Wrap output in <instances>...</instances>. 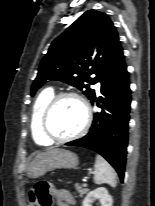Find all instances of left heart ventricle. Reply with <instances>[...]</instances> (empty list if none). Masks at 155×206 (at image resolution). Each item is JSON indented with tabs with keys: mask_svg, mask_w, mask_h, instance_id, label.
Segmentation results:
<instances>
[{
	"mask_svg": "<svg viewBox=\"0 0 155 206\" xmlns=\"http://www.w3.org/2000/svg\"><path fill=\"white\" fill-rule=\"evenodd\" d=\"M84 121L81 104L74 98L60 100L48 118V128L56 137H66L77 132Z\"/></svg>",
	"mask_w": 155,
	"mask_h": 206,
	"instance_id": "left-heart-ventricle-1",
	"label": "left heart ventricle"
}]
</instances>
